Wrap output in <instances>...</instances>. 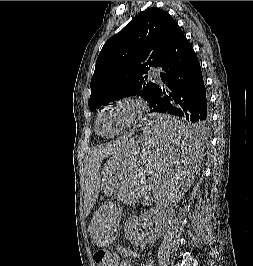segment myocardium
<instances>
[{
  "label": "myocardium",
  "mask_w": 253,
  "mask_h": 266,
  "mask_svg": "<svg viewBox=\"0 0 253 266\" xmlns=\"http://www.w3.org/2000/svg\"><path fill=\"white\" fill-rule=\"evenodd\" d=\"M119 105H127L131 107L132 114L128 122L121 129H119L118 131H116L115 133L111 135L106 136V135L100 134L98 131V124H99L100 117L108 109L113 108L115 106H119ZM145 112H146V103L144 102L142 98L136 95H131V94L123 95L111 101L110 103L106 104L104 107L101 108L95 120V131L100 137H103V138H112V137L118 136L121 133L133 127L134 125H136L137 122L144 116Z\"/></svg>",
  "instance_id": "myocardium-1"
}]
</instances>
